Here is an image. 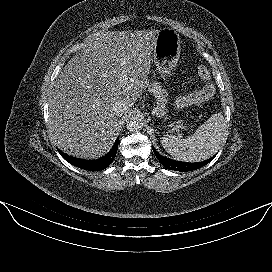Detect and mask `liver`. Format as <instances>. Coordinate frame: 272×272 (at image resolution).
<instances>
[{
  "instance_id": "liver-1",
  "label": "liver",
  "mask_w": 272,
  "mask_h": 272,
  "mask_svg": "<svg viewBox=\"0 0 272 272\" xmlns=\"http://www.w3.org/2000/svg\"><path fill=\"white\" fill-rule=\"evenodd\" d=\"M158 34L99 31L87 38L52 90L49 127L58 148L85 159L107 153L117 135L113 106L117 101L133 106L147 88Z\"/></svg>"
}]
</instances>
